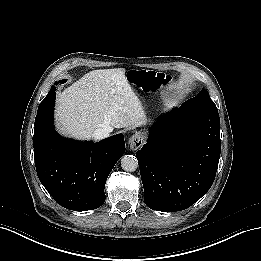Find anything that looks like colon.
<instances>
[{
	"label": "colon",
	"instance_id": "5ec220e1",
	"mask_svg": "<svg viewBox=\"0 0 261 261\" xmlns=\"http://www.w3.org/2000/svg\"><path fill=\"white\" fill-rule=\"evenodd\" d=\"M141 85L149 91L159 92L166 82L165 76L153 71H140L136 73Z\"/></svg>",
	"mask_w": 261,
	"mask_h": 261
}]
</instances>
